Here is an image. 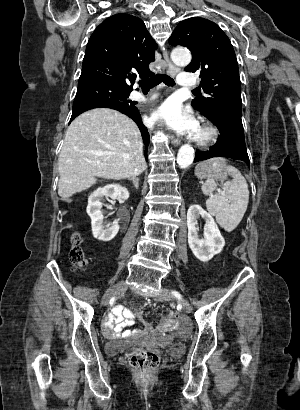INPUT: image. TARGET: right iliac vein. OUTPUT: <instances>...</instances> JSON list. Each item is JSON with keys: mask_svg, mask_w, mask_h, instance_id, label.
<instances>
[{"mask_svg": "<svg viewBox=\"0 0 300 410\" xmlns=\"http://www.w3.org/2000/svg\"><path fill=\"white\" fill-rule=\"evenodd\" d=\"M125 290H126V283L125 282L117 283L115 286H113L111 289H109L105 293L102 303L104 305H107L112 297L120 295Z\"/></svg>", "mask_w": 300, "mask_h": 410, "instance_id": "1", "label": "right iliac vein"}]
</instances>
